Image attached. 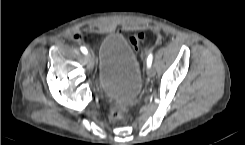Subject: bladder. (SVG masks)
I'll return each instance as SVG.
<instances>
[{"mask_svg": "<svg viewBox=\"0 0 245 145\" xmlns=\"http://www.w3.org/2000/svg\"><path fill=\"white\" fill-rule=\"evenodd\" d=\"M98 78L102 90L115 100H131L140 93V66L132 44L124 35L111 34L100 46Z\"/></svg>", "mask_w": 245, "mask_h": 145, "instance_id": "bladder-1", "label": "bladder"}]
</instances>
